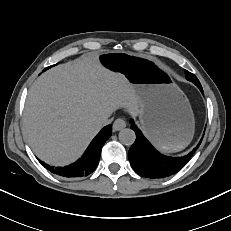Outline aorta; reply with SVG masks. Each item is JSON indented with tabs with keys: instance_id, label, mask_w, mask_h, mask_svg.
Instances as JSON below:
<instances>
[{
	"instance_id": "obj_1",
	"label": "aorta",
	"mask_w": 231,
	"mask_h": 231,
	"mask_svg": "<svg viewBox=\"0 0 231 231\" xmlns=\"http://www.w3.org/2000/svg\"><path fill=\"white\" fill-rule=\"evenodd\" d=\"M135 139L136 135L132 129L125 128L119 132V140L124 145H132Z\"/></svg>"
}]
</instances>
